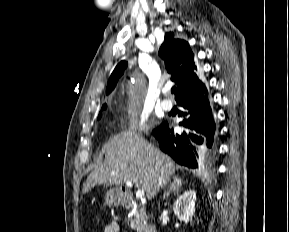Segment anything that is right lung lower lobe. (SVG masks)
<instances>
[{"label":"right lung lower lobe","mask_w":289,"mask_h":232,"mask_svg":"<svg viewBox=\"0 0 289 232\" xmlns=\"http://www.w3.org/2000/svg\"><path fill=\"white\" fill-rule=\"evenodd\" d=\"M186 117L180 125L186 128L174 133L168 124L162 123L153 130L160 149L177 163L197 168L204 161L212 159L217 147V125L208 99V91L190 95L178 101Z\"/></svg>","instance_id":"98d812e1"}]
</instances>
